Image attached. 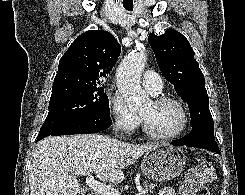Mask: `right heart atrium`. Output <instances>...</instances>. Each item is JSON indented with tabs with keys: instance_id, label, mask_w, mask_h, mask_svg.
<instances>
[{
	"instance_id": "obj_1",
	"label": "right heart atrium",
	"mask_w": 245,
	"mask_h": 195,
	"mask_svg": "<svg viewBox=\"0 0 245 195\" xmlns=\"http://www.w3.org/2000/svg\"><path fill=\"white\" fill-rule=\"evenodd\" d=\"M107 102L110 120L114 128L124 134H132L139 125L138 116L127 107L118 92H109Z\"/></svg>"
}]
</instances>
